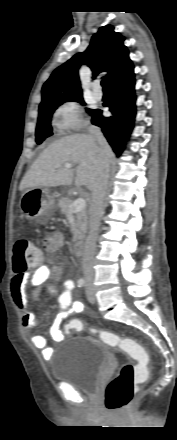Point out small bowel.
I'll list each match as a JSON object with an SVG mask.
<instances>
[{"mask_svg": "<svg viewBox=\"0 0 177 440\" xmlns=\"http://www.w3.org/2000/svg\"><path fill=\"white\" fill-rule=\"evenodd\" d=\"M64 243V235L59 231H52L44 239L43 246L46 252L52 254L63 247ZM62 274V265L54 262H41L35 265L33 272H16L10 281V293L13 302L22 314V325L25 328L34 327L39 320V315L34 313L30 308L27 296L28 286L33 289V298L35 300L39 299L43 287H45L50 295L58 297L60 311L55 316L50 330L51 337L56 342L64 338V334L61 330L62 322L70 315L85 311L84 304L73 298V290L75 287L73 280H65L63 283V291L58 293L56 282L61 279ZM32 344L36 349L41 351L43 358H50L52 349L48 346L45 336L40 334L32 336Z\"/></svg>", "mask_w": 177, "mask_h": 440, "instance_id": "c3829d8e", "label": "small bowel"}]
</instances>
